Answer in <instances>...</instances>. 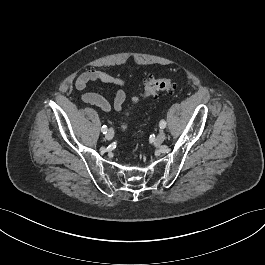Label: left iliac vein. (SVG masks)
I'll list each match as a JSON object with an SVG mask.
<instances>
[{
  "label": "left iliac vein",
  "instance_id": "obj_1",
  "mask_svg": "<svg viewBox=\"0 0 265 265\" xmlns=\"http://www.w3.org/2000/svg\"><path fill=\"white\" fill-rule=\"evenodd\" d=\"M165 138H166L165 131H164V130H161V131L158 133V135H157V137H156V139H155V144H156V145H159V144L163 143V141L165 140Z\"/></svg>",
  "mask_w": 265,
  "mask_h": 265
}]
</instances>
